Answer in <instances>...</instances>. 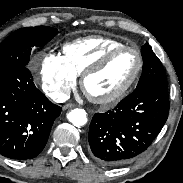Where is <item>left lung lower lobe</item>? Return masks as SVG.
I'll list each match as a JSON object with an SVG mask.
<instances>
[{
  "instance_id": "1",
  "label": "left lung lower lobe",
  "mask_w": 183,
  "mask_h": 183,
  "mask_svg": "<svg viewBox=\"0 0 183 183\" xmlns=\"http://www.w3.org/2000/svg\"><path fill=\"white\" fill-rule=\"evenodd\" d=\"M169 113L167 87L133 91L105 113H96L89 128L94 159L105 166L125 164L143 153L159 134Z\"/></svg>"
}]
</instances>
